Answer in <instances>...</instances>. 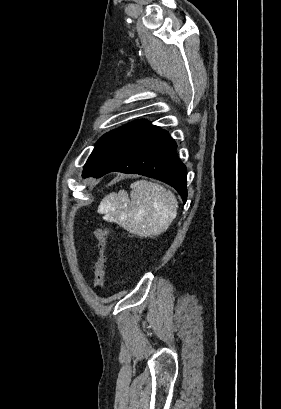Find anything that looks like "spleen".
I'll use <instances>...</instances> for the list:
<instances>
[{"label":"spleen","mask_w":281,"mask_h":409,"mask_svg":"<svg viewBox=\"0 0 281 409\" xmlns=\"http://www.w3.org/2000/svg\"><path fill=\"white\" fill-rule=\"evenodd\" d=\"M130 198L122 188L101 200L98 213L138 237H159L176 219L178 200L168 188L149 180L130 184Z\"/></svg>","instance_id":"1"}]
</instances>
